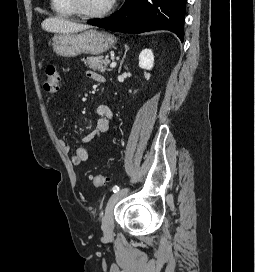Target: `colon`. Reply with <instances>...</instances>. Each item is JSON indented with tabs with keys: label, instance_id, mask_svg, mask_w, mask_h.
Returning a JSON list of instances; mask_svg holds the SVG:
<instances>
[{
	"label": "colon",
	"instance_id": "5ec220e1",
	"mask_svg": "<svg viewBox=\"0 0 255 272\" xmlns=\"http://www.w3.org/2000/svg\"><path fill=\"white\" fill-rule=\"evenodd\" d=\"M61 78L59 75L58 68L54 65H49L45 69L43 87L46 92L56 93L60 88ZM107 178L98 174L92 177V183L96 187H102L105 185Z\"/></svg>",
	"mask_w": 255,
	"mask_h": 272
}]
</instances>
